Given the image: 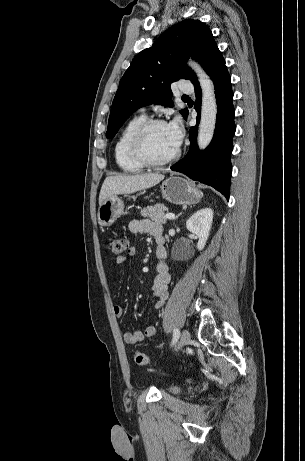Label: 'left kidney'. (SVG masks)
I'll return each instance as SVG.
<instances>
[{
	"label": "left kidney",
	"mask_w": 305,
	"mask_h": 461,
	"mask_svg": "<svg viewBox=\"0 0 305 461\" xmlns=\"http://www.w3.org/2000/svg\"><path fill=\"white\" fill-rule=\"evenodd\" d=\"M212 221L213 210L211 208H203L194 213L186 222L187 229L199 238L197 243L198 250H202L206 245Z\"/></svg>",
	"instance_id": "left-kidney-1"
}]
</instances>
